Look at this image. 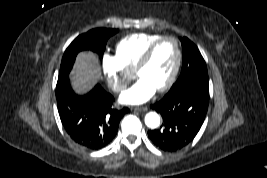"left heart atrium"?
<instances>
[{
	"instance_id": "39dd6f15",
	"label": "left heart atrium",
	"mask_w": 267,
	"mask_h": 178,
	"mask_svg": "<svg viewBox=\"0 0 267 178\" xmlns=\"http://www.w3.org/2000/svg\"><path fill=\"white\" fill-rule=\"evenodd\" d=\"M155 92L156 88L146 79L141 78L121 94L120 101L128 105H139L152 98Z\"/></svg>"
}]
</instances>
